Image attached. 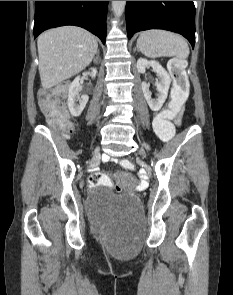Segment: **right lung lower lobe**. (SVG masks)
Listing matches in <instances>:
<instances>
[{"label":"right lung lower lobe","instance_id":"right-lung-lower-lobe-1","mask_svg":"<svg viewBox=\"0 0 233 295\" xmlns=\"http://www.w3.org/2000/svg\"><path fill=\"white\" fill-rule=\"evenodd\" d=\"M108 1H35L34 37L62 25L83 27L105 44Z\"/></svg>","mask_w":233,"mask_h":295}]
</instances>
